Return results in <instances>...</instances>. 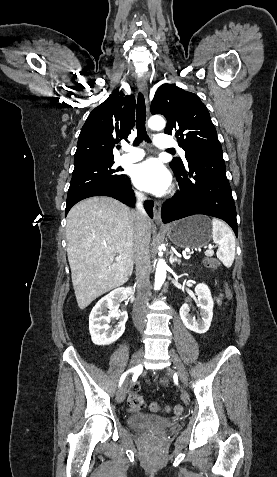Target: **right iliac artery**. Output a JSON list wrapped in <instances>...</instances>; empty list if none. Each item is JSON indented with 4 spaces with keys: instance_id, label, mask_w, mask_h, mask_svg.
<instances>
[{
    "instance_id": "1",
    "label": "right iliac artery",
    "mask_w": 277,
    "mask_h": 477,
    "mask_svg": "<svg viewBox=\"0 0 277 477\" xmlns=\"http://www.w3.org/2000/svg\"><path fill=\"white\" fill-rule=\"evenodd\" d=\"M139 370H141V365H139V366H137V367H135V368H132V369L128 370L127 372H125V373L121 376V378H120L119 385H121V384L123 383V381H124L126 375H127L129 372H131V371L137 372V371H139Z\"/></svg>"
}]
</instances>
